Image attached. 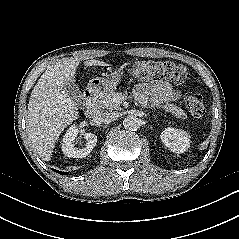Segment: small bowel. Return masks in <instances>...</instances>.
<instances>
[{
  "mask_svg": "<svg viewBox=\"0 0 239 239\" xmlns=\"http://www.w3.org/2000/svg\"><path fill=\"white\" fill-rule=\"evenodd\" d=\"M135 96L143 103H150L153 106L177 100L179 91L175 90L168 82L154 80L140 83L135 88Z\"/></svg>",
  "mask_w": 239,
  "mask_h": 239,
  "instance_id": "obj_1",
  "label": "small bowel"
}]
</instances>
